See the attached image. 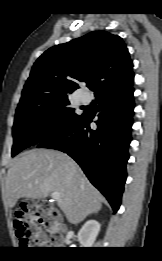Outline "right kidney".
Wrapping results in <instances>:
<instances>
[{"label":"right kidney","mask_w":162,"mask_h":261,"mask_svg":"<svg viewBox=\"0 0 162 261\" xmlns=\"http://www.w3.org/2000/svg\"><path fill=\"white\" fill-rule=\"evenodd\" d=\"M101 225L96 220H88L78 232V240L83 247L89 248L94 244Z\"/></svg>","instance_id":"right-kidney-1"}]
</instances>
